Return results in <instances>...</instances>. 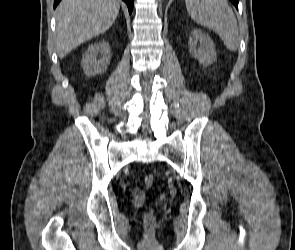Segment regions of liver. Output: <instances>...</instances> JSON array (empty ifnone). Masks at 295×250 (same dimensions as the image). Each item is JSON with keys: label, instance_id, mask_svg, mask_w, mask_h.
I'll list each match as a JSON object with an SVG mask.
<instances>
[{"label": "liver", "instance_id": "6515ba94", "mask_svg": "<svg viewBox=\"0 0 295 250\" xmlns=\"http://www.w3.org/2000/svg\"><path fill=\"white\" fill-rule=\"evenodd\" d=\"M119 9V0H62L56 16L58 56L63 58L82 43L106 32Z\"/></svg>", "mask_w": 295, "mask_h": 250}]
</instances>
